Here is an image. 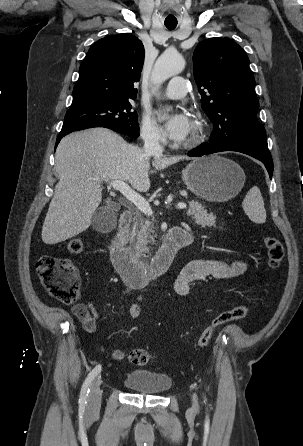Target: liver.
Returning <instances> with one entry per match:
<instances>
[{
  "label": "liver",
  "instance_id": "1",
  "mask_svg": "<svg viewBox=\"0 0 303 446\" xmlns=\"http://www.w3.org/2000/svg\"><path fill=\"white\" fill-rule=\"evenodd\" d=\"M2 3V2H1ZM150 157L106 128L64 137L55 153L59 182L42 228L45 244H57L89 228L102 200V183L129 182L140 192L150 188ZM186 156L153 155L152 166L163 170Z\"/></svg>",
  "mask_w": 303,
  "mask_h": 446
}]
</instances>
